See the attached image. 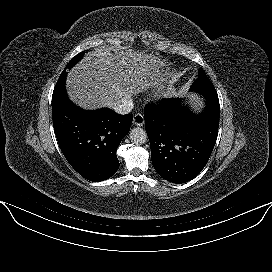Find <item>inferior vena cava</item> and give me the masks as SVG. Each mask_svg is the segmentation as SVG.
Returning a JSON list of instances; mask_svg holds the SVG:
<instances>
[{
    "mask_svg": "<svg viewBox=\"0 0 272 272\" xmlns=\"http://www.w3.org/2000/svg\"><path fill=\"white\" fill-rule=\"evenodd\" d=\"M133 100L131 97H124L117 103L113 104L111 108L118 114H128L133 108Z\"/></svg>",
    "mask_w": 272,
    "mask_h": 272,
    "instance_id": "obj_1",
    "label": "inferior vena cava"
}]
</instances>
